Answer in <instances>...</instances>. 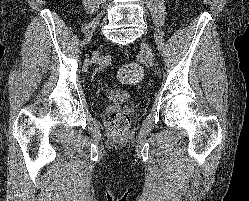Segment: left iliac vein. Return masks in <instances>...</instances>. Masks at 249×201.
I'll list each match as a JSON object with an SVG mask.
<instances>
[{
	"label": "left iliac vein",
	"instance_id": "left-iliac-vein-1",
	"mask_svg": "<svg viewBox=\"0 0 249 201\" xmlns=\"http://www.w3.org/2000/svg\"><path fill=\"white\" fill-rule=\"evenodd\" d=\"M141 50H142V54H143L145 60L147 61V63L150 66H154L155 65V57H154V54H153L150 46L148 45V43L143 41L141 43Z\"/></svg>",
	"mask_w": 249,
	"mask_h": 201
}]
</instances>
